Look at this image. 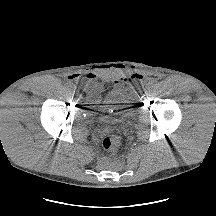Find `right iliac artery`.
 Returning <instances> with one entry per match:
<instances>
[{
  "mask_svg": "<svg viewBox=\"0 0 216 216\" xmlns=\"http://www.w3.org/2000/svg\"><path fill=\"white\" fill-rule=\"evenodd\" d=\"M67 90H68V91H73V86H68V87H67Z\"/></svg>",
  "mask_w": 216,
  "mask_h": 216,
  "instance_id": "1",
  "label": "right iliac artery"
}]
</instances>
